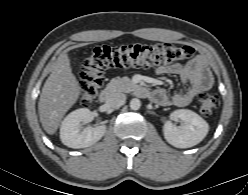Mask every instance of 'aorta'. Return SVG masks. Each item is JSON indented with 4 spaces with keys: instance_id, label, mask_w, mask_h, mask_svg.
I'll return each instance as SVG.
<instances>
[{
    "instance_id": "obj_1",
    "label": "aorta",
    "mask_w": 248,
    "mask_h": 195,
    "mask_svg": "<svg viewBox=\"0 0 248 195\" xmlns=\"http://www.w3.org/2000/svg\"><path fill=\"white\" fill-rule=\"evenodd\" d=\"M141 107V101L138 98H133L130 101V108L132 110H138Z\"/></svg>"
}]
</instances>
